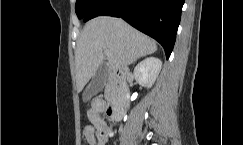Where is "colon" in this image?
<instances>
[{
	"mask_svg": "<svg viewBox=\"0 0 243 145\" xmlns=\"http://www.w3.org/2000/svg\"><path fill=\"white\" fill-rule=\"evenodd\" d=\"M96 131V127L92 124H86L83 128V135L88 138L93 135Z\"/></svg>",
	"mask_w": 243,
	"mask_h": 145,
	"instance_id": "1",
	"label": "colon"
}]
</instances>
